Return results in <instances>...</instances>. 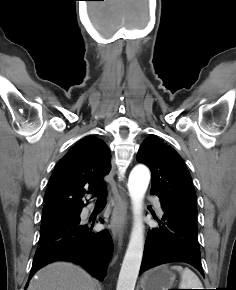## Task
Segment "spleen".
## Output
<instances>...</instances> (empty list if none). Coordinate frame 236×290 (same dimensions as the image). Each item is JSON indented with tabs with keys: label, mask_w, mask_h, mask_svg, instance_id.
Listing matches in <instances>:
<instances>
[{
	"label": "spleen",
	"mask_w": 236,
	"mask_h": 290,
	"mask_svg": "<svg viewBox=\"0 0 236 290\" xmlns=\"http://www.w3.org/2000/svg\"><path fill=\"white\" fill-rule=\"evenodd\" d=\"M172 269L179 271L181 274L180 289H203L200 279L189 268L183 269L180 265H175L172 266Z\"/></svg>",
	"instance_id": "spleen-1"
}]
</instances>
